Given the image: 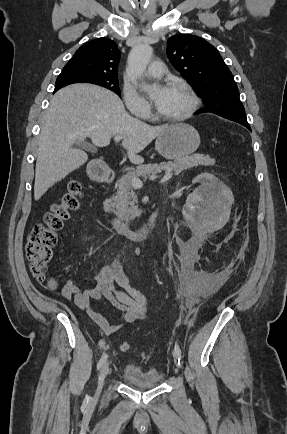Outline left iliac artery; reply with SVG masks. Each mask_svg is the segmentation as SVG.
Returning <instances> with one entry per match:
<instances>
[{
	"label": "left iliac artery",
	"mask_w": 287,
	"mask_h": 434,
	"mask_svg": "<svg viewBox=\"0 0 287 434\" xmlns=\"http://www.w3.org/2000/svg\"><path fill=\"white\" fill-rule=\"evenodd\" d=\"M174 351L177 354V360H178V363L180 364V362L182 360V353H181V349L177 343L175 344Z\"/></svg>",
	"instance_id": "left-iliac-artery-1"
}]
</instances>
